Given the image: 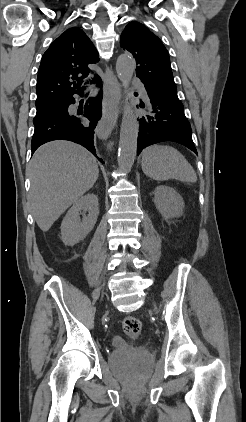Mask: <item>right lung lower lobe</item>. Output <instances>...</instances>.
Returning a JSON list of instances; mask_svg holds the SVG:
<instances>
[{
    "label": "right lung lower lobe",
    "instance_id": "obj_1",
    "mask_svg": "<svg viewBox=\"0 0 246 422\" xmlns=\"http://www.w3.org/2000/svg\"><path fill=\"white\" fill-rule=\"evenodd\" d=\"M95 82L97 86H102V81L98 76ZM101 100V93L95 98L88 99L84 110L76 115L68 111L69 105L75 103L73 96L59 102L54 115L33 122L35 131L32 137V153L46 142L69 140L84 146L97 157L94 147V129L102 115ZM81 116L89 119V125L82 122ZM99 160L104 163L102 159Z\"/></svg>",
    "mask_w": 246,
    "mask_h": 422
}]
</instances>
